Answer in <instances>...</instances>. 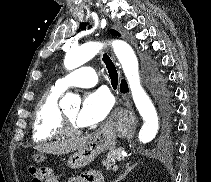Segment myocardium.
<instances>
[{
  "mask_svg": "<svg viewBox=\"0 0 211 182\" xmlns=\"http://www.w3.org/2000/svg\"><path fill=\"white\" fill-rule=\"evenodd\" d=\"M59 123L62 135L76 136L82 133V129L75 125L63 110L60 112Z\"/></svg>",
  "mask_w": 211,
  "mask_h": 182,
  "instance_id": "1",
  "label": "myocardium"
}]
</instances>
